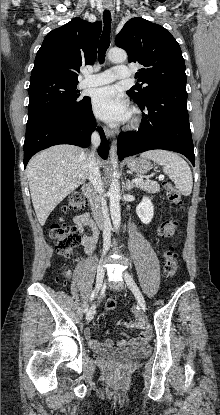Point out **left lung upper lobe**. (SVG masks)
I'll use <instances>...</instances> for the list:
<instances>
[{
	"label": "left lung upper lobe",
	"instance_id": "left-lung-upper-lobe-1",
	"mask_svg": "<svg viewBox=\"0 0 220 415\" xmlns=\"http://www.w3.org/2000/svg\"><path fill=\"white\" fill-rule=\"evenodd\" d=\"M115 43L126 50L128 61L139 63V82L128 95L144 102L160 87L186 85L185 62L179 44L162 26L140 17L130 19L117 35Z\"/></svg>",
	"mask_w": 220,
	"mask_h": 415
}]
</instances>
